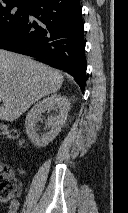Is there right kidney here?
Instances as JSON below:
<instances>
[{
	"mask_svg": "<svg viewBox=\"0 0 128 213\" xmlns=\"http://www.w3.org/2000/svg\"><path fill=\"white\" fill-rule=\"evenodd\" d=\"M57 106L59 114L50 116L46 120L48 131L41 135L36 133V124L42 112L50 111ZM70 110V103L66 96L61 94H52L42 101L37 102L26 115L25 127L26 133L30 141L37 147L47 146L61 131L65 124L68 112Z\"/></svg>",
	"mask_w": 128,
	"mask_h": 213,
	"instance_id": "right-kidney-1",
	"label": "right kidney"
}]
</instances>
